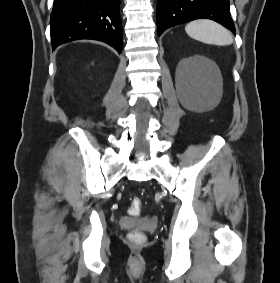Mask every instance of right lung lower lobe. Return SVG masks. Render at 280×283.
<instances>
[{"instance_id":"right-lung-lower-lobe-1","label":"right lung lower lobe","mask_w":280,"mask_h":283,"mask_svg":"<svg viewBox=\"0 0 280 283\" xmlns=\"http://www.w3.org/2000/svg\"><path fill=\"white\" fill-rule=\"evenodd\" d=\"M50 26L53 50L80 39L123 48L120 0H54Z\"/></svg>"}]
</instances>
